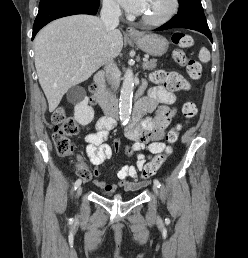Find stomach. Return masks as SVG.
<instances>
[{
	"label": "stomach",
	"mask_w": 248,
	"mask_h": 258,
	"mask_svg": "<svg viewBox=\"0 0 248 258\" xmlns=\"http://www.w3.org/2000/svg\"><path fill=\"white\" fill-rule=\"evenodd\" d=\"M131 40L144 52L149 55L159 57L166 53L169 41L157 34L140 33L137 37H132Z\"/></svg>",
	"instance_id": "obj_1"
}]
</instances>
